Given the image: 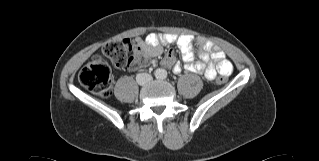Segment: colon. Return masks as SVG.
Segmentation results:
<instances>
[{
    "label": "colon",
    "instance_id": "1",
    "mask_svg": "<svg viewBox=\"0 0 319 161\" xmlns=\"http://www.w3.org/2000/svg\"><path fill=\"white\" fill-rule=\"evenodd\" d=\"M103 53L119 68L137 70L151 64V58L143 46L128 38L111 40L104 44ZM221 76L217 82L225 83ZM80 84L100 96L111 91V70L98 56L92 58L79 72Z\"/></svg>",
    "mask_w": 319,
    "mask_h": 161
}]
</instances>
